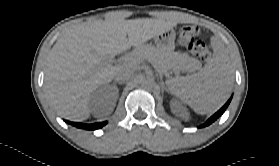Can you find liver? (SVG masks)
<instances>
[{
    "mask_svg": "<svg viewBox=\"0 0 279 166\" xmlns=\"http://www.w3.org/2000/svg\"><path fill=\"white\" fill-rule=\"evenodd\" d=\"M177 24L176 13L165 18L125 20L118 15L93 19L67 29L49 54L45 92L58 113L69 120L90 116V94L110 82L121 66L107 61L131 47L143 45Z\"/></svg>",
    "mask_w": 279,
    "mask_h": 166,
    "instance_id": "obj_1",
    "label": "liver"
}]
</instances>
